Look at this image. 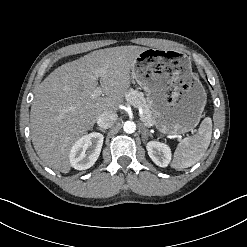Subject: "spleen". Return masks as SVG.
Listing matches in <instances>:
<instances>
[{"label": "spleen", "instance_id": "1", "mask_svg": "<svg viewBox=\"0 0 247 247\" xmlns=\"http://www.w3.org/2000/svg\"><path fill=\"white\" fill-rule=\"evenodd\" d=\"M212 135V120L206 117L200 124L198 133L184 138L174 152L172 168L182 170L197 163L209 147Z\"/></svg>", "mask_w": 247, "mask_h": 247}]
</instances>
